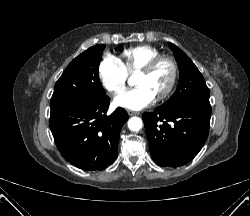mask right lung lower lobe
<instances>
[{"mask_svg": "<svg viewBox=\"0 0 250 216\" xmlns=\"http://www.w3.org/2000/svg\"><path fill=\"white\" fill-rule=\"evenodd\" d=\"M110 98L75 102L51 113L50 128L61 155L74 166L102 170L117 157L120 131L128 120L123 108L107 115Z\"/></svg>", "mask_w": 250, "mask_h": 216, "instance_id": "right-lung-lower-lobe-1", "label": "right lung lower lobe"}]
</instances>
